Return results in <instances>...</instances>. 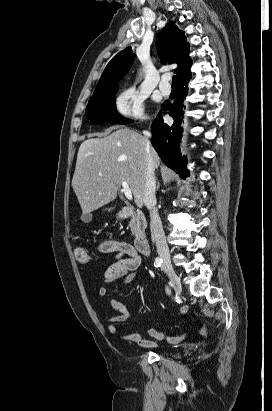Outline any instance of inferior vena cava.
<instances>
[{
	"mask_svg": "<svg viewBox=\"0 0 272 411\" xmlns=\"http://www.w3.org/2000/svg\"><path fill=\"white\" fill-rule=\"evenodd\" d=\"M143 134L146 139V148L148 151L147 157V168L145 172V183H144V192H143V201L145 206L150 211L151 219V229L155 239L157 253L159 257L164 262H170V253L169 248L166 242L163 226L161 219L159 217L158 211L156 209V179H155V165L153 158L150 155V142L148 140L151 137V133L148 131H143Z\"/></svg>",
	"mask_w": 272,
	"mask_h": 411,
	"instance_id": "602c4592",
	"label": "inferior vena cava"
}]
</instances>
